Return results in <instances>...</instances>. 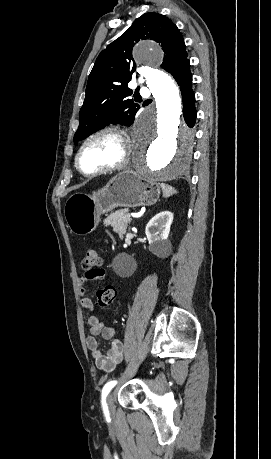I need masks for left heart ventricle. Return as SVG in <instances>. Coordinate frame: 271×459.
I'll return each instance as SVG.
<instances>
[{
	"instance_id": "b2bd125f",
	"label": "left heart ventricle",
	"mask_w": 271,
	"mask_h": 459,
	"mask_svg": "<svg viewBox=\"0 0 271 459\" xmlns=\"http://www.w3.org/2000/svg\"><path fill=\"white\" fill-rule=\"evenodd\" d=\"M121 153L120 140L111 133H105L88 141L80 154L79 165L85 172H92L115 162Z\"/></svg>"
}]
</instances>
